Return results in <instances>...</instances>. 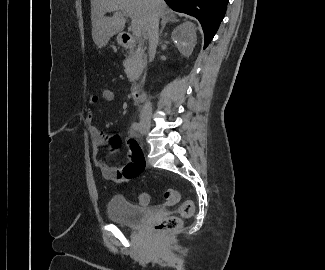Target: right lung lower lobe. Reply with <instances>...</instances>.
Wrapping results in <instances>:
<instances>
[{
    "mask_svg": "<svg viewBox=\"0 0 325 270\" xmlns=\"http://www.w3.org/2000/svg\"><path fill=\"white\" fill-rule=\"evenodd\" d=\"M173 10L194 16L204 31V48L214 37L224 18L229 0H165Z\"/></svg>",
    "mask_w": 325,
    "mask_h": 270,
    "instance_id": "98d812e1",
    "label": "right lung lower lobe"
}]
</instances>
